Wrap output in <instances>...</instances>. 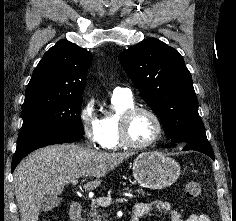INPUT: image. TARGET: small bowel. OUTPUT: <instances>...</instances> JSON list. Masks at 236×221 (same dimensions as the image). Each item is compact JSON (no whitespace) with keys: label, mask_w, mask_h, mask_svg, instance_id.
Returning a JSON list of instances; mask_svg holds the SVG:
<instances>
[{"label":"small bowel","mask_w":236,"mask_h":221,"mask_svg":"<svg viewBox=\"0 0 236 221\" xmlns=\"http://www.w3.org/2000/svg\"><path fill=\"white\" fill-rule=\"evenodd\" d=\"M154 211L166 212L170 216L171 221H210L206 214L198 213H193L183 218L178 210L173 208L169 202L163 200L136 203L133 208V216L139 219Z\"/></svg>","instance_id":"obj_1"}]
</instances>
